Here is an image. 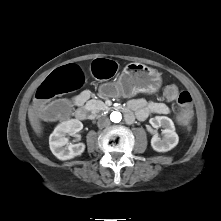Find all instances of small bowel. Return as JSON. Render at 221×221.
Returning a JSON list of instances; mask_svg holds the SVG:
<instances>
[{"label":"small bowel","instance_id":"1","mask_svg":"<svg viewBox=\"0 0 221 221\" xmlns=\"http://www.w3.org/2000/svg\"><path fill=\"white\" fill-rule=\"evenodd\" d=\"M91 97L88 90H84L72 98V103L75 106L84 105ZM128 109L133 111L138 120H145L151 114L165 115L170 112V108L163 102L148 101L145 99H132L128 103Z\"/></svg>","mask_w":221,"mask_h":221}]
</instances>
